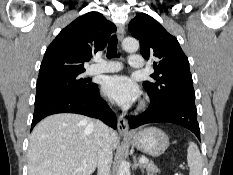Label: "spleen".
<instances>
[{
    "label": "spleen",
    "instance_id": "1",
    "mask_svg": "<svg viewBox=\"0 0 233 175\" xmlns=\"http://www.w3.org/2000/svg\"><path fill=\"white\" fill-rule=\"evenodd\" d=\"M187 161L190 169L189 175H202V157L198 146L194 142L188 143Z\"/></svg>",
    "mask_w": 233,
    "mask_h": 175
}]
</instances>
